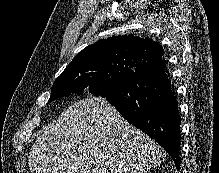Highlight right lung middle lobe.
<instances>
[{"label": "right lung middle lobe", "instance_id": "1", "mask_svg": "<svg viewBox=\"0 0 219 173\" xmlns=\"http://www.w3.org/2000/svg\"><path fill=\"white\" fill-rule=\"evenodd\" d=\"M134 69L131 64L115 62L82 72H66L55 80L49 101H53L58 97L68 96L71 93H78L84 89L94 96L105 98L118 81Z\"/></svg>", "mask_w": 219, "mask_h": 173}]
</instances>
